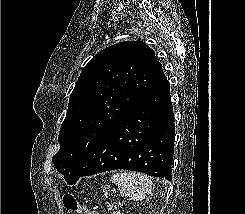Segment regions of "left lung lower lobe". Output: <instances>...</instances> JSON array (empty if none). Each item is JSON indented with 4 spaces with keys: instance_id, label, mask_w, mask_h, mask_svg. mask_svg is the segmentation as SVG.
<instances>
[{
    "instance_id": "obj_1",
    "label": "left lung lower lobe",
    "mask_w": 245,
    "mask_h": 214,
    "mask_svg": "<svg viewBox=\"0 0 245 214\" xmlns=\"http://www.w3.org/2000/svg\"><path fill=\"white\" fill-rule=\"evenodd\" d=\"M174 133L166 80L118 119L64 178L75 184L80 176L126 169L171 181Z\"/></svg>"
}]
</instances>
